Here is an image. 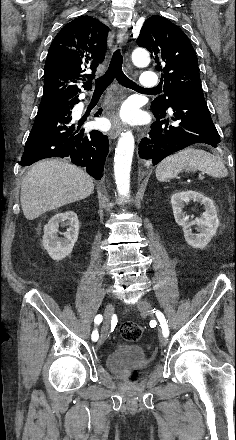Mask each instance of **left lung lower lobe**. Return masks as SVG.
<instances>
[{"label": "left lung lower lobe", "mask_w": 236, "mask_h": 440, "mask_svg": "<svg viewBox=\"0 0 236 440\" xmlns=\"http://www.w3.org/2000/svg\"><path fill=\"white\" fill-rule=\"evenodd\" d=\"M156 121L139 144V156L158 164L162 159L193 144H220V136L211 119L202 90L177 96L169 111L153 112Z\"/></svg>", "instance_id": "0a47b994"}]
</instances>
